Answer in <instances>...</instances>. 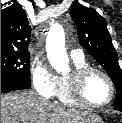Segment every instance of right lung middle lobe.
I'll return each mask as SVG.
<instances>
[{
    "label": "right lung middle lobe",
    "mask_w": 122,
    "mask_h": 123,
    "mask_svg": "<svg viewBox=\"0 0 122 123\" xmlns=\"http://www.w3.org/2000/svg\"><path fill=\"white\" fill-rule=\"evenodd\" d=\"M1 75L30 83V54L1 51Z\"/></svg>",
    "instance_id": "dd1d6c3e"
}]
</instances>
